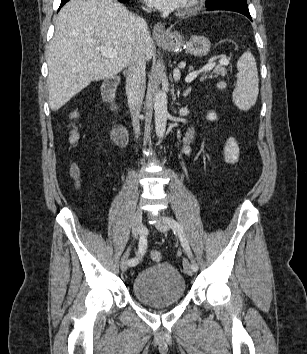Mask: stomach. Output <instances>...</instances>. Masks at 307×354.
Segmentation results:
<instances>
[{
  "label": "stomach",
  "mask_w": 307,
  "mask_h": 354,
  "mask_svg": "<svg viewBox=\"0 0 307 354\" xmlns=\"http://www.w3.org/2000/svg\"><path fill=\"white\" fill-rule=\"evenodd\" d=\"M157 44L171 52L178 51L185 46L186 51L195 57L206 56L211 49V42L207 37L192 35L185 42L184 37L178 32H171L164 39H157Z\"/></svg>",
  "instance_id": "obj_1"
}]
</instances>
